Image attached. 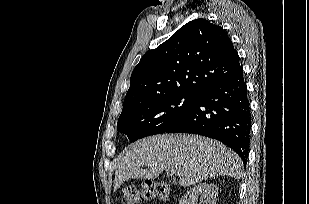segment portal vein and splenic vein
<instances>
[{"mask_svg": "<svg viewBox=\"0 0 309 204\" xmlns=\"http://www.w3.org/2000/svg\"><path fill=\"white\" fill-rule=\"evenodd\" d=\"M168 171H169L171 174H174V173H175V170H174V169H168Z\"/></svg>", "mask_w": 309, "mask_h": 204, "instance_id": "obj_1", "label": "portal vein and splenic vein"}]
</instances>
